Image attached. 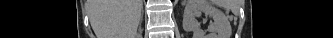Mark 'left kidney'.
Returning a JSON list of instances; mask_svg holds the SVG:
<instances>
[{
  "mask_svg": "<svg viewBox=\"0 0 333 38\" xmlns=\"http://www.w3.org/2000/svg\"><path fill=\"white\" fill-rule=\"evenodd\" d=\"M204 13L213 19L207 31L201 29L196 20ZM183 28L193 32V38H230L232 30L226 15L213 6L208 0H187L184 15Z\"/></svg>",
  "mask_w": 333,
  "mask_h": 38,
  "instance_id": "obj_1",
  "label": "left kidney"
}]
</instances>
